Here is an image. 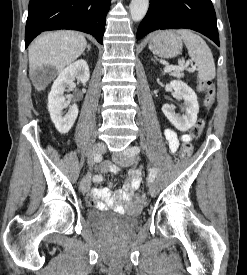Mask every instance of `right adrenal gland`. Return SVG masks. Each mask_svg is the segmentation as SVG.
<instances>
[{
  "instance_id": "obj_1",
  "label": "right adrenal gland",
  "mask_w": 247,
  "mask_h": 275,
  "mask_svg": "<svg viewBox=\"0 0 247 275\" xmlns=\"http://www.w3.org/2000/svg\"><path fill=\"white\" fill-rule=\"evenodd\" d=\"M90 48H91V46H90V45H88V46H87V50H88V51H90Z\"/></svg>"
}]
</instances>
